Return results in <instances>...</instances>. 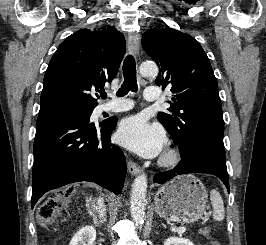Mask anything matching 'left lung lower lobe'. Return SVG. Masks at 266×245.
Wrapping results in <instances>:
<instances>
[{
  "label": "left lung lower lobe",
  "instance_id": "0a47b994",
  "mask_svg": "<svg viewBox=\"0 0 266 245\" xmlns=\"http://www.w3.org/2000/svg\"><path fill=\"white\" fill-rule=\"evenodd\" d=\"M180 154L179 164L173 170L157 173L154 176L155 183H165L181 174L206 173L217 176L229 190L223 139L208 135L196 136L191 140L188 151Z\"/></svg>",
  "mask_w": 266,
  "mask_h": 245
}]
</instances>
